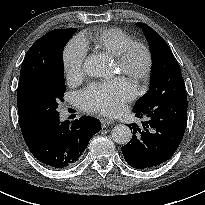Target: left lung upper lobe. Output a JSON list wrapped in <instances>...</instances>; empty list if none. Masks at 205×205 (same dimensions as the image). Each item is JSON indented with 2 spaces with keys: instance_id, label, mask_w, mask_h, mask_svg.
Wrapping results in <instances>:
<instances>
[{
  "instance_id": "1",
  "label": "left lung upper lobe",
  "mask_w": 205,
  "mask_h": 205,
  "mask_svg": "<svg viewBox=\"0 0 205 205\" xmlns=\"http://www.w3.org/2000/svg\"><path fill=\"white\" fill-rule=\"evenodd\" d=\"M138 25L142 27L150 45L153 64L149 90L137 101L133 111L141 110L153 102L173 95H186L181 69L170 47L151 27L143 23Z\"/></svg>"
}]
</instances>
